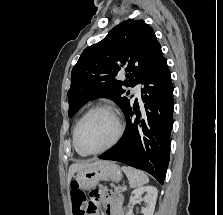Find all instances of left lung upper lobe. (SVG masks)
I'll return each instance as SVG.
<instances>
[{
    "instance_id": "left-lung-upper-lobe-1",
    "label": "left lung upper lobe",
    "mask_w": 223,
    "mask_h": 215,
    "mask_svg": "<svg viewBox=\"0 0 223 215\" xmlns=\"http://www.w3.org/2000/svg\"><path fill=\"white\" fill-rule=\"evenodd\" d=\"M165 59L153 29L143 20H126L100 42L86 48L71 73L69 117L90 100L107 97L125 113L131 102L122 86L133 87ZM124 69L129 80L117 81ZM127 82V83H126Z\"/></svg>"
}]
</instances>
